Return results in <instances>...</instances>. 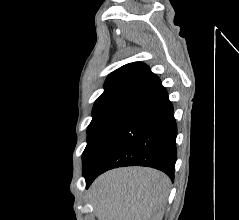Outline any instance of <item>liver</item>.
I'll use <instances>...</instances> for the list:
<instances>
[{"instance_id":"obj_1","label":"liver","mask_w":239,"mask_h":220,"mask_svg":"<svg viewBox=\"0 0 239 220\" xmlns=\"http://www.w3.org/2000/svg\"><path fill=\"white\" fill-rule=\"evenodd\" d=\"M170 179L145 167H125L99 176L90 189L98 220H162Z\"/></svg>"}]
</instances>
